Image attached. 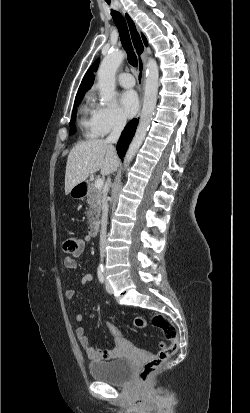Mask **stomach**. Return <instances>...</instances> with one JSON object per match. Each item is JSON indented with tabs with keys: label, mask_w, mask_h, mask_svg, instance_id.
<instances>
[{
	"label": "stomach",
	"mask_w": 250,
	"mask_h": 413,
	"mask_svg": "<svg viewBox=\"0 0 250 413\" xmlns=\"http://www.w3.org/2000/svg\"><path fill=\"white\" fill-rule=\"evenodd\" d=\"M80 184L73 187L70 191L71 196H73L74 198H83L86 194V184H84L82 187L79 186Z\"/></svg>",
	"instance_id": "stomach-1"
}]
</instances>
